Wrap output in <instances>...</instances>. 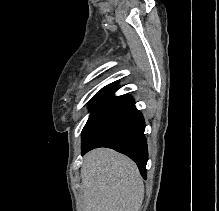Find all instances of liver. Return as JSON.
Here are the masks:
<instances>
[{
  "mask_svg": "<svg viewBox=\"0 0 219 211\" xmlns=\"http://www.w3.org/2000/svg\"><path fill=\"white\" fill-rule=\"evenodd\" d=\"M80 173L84 211H139L144 183L127 155L108 147L92 149L84 155Z\"/></svg>",
  "mask_w": 219,
  "mask_h": 211,
  "instance_id": "obj_1",
  "label": "liver"
}]
</instances>
